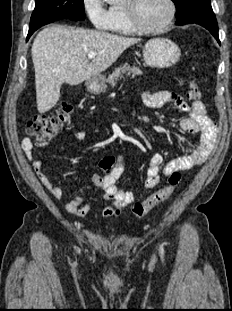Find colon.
Masks as SVG:
<instances>
[{
  "instance_id": "1",
  "label": "colon",
  "mask_w": 232,
  "mask_h": 311,
  "mask_svg": "<svg viewBox=\"0 0 232 311\" xmlns=\"http://www.w3.org/2000/svg\"><path fill=\"white\" fill-rule=\"evenodd\" d=\"M200 95L198 86L191 83L186 93L187 100L190 102L198 101ZM72 109L73 107L70 104H63L62 107L51 116H35L27 126L28 134L39 139L52 138L69 121ZM180 180V172H173L169 178L168 184L165 187L159 189L146 199L134 203L132 206V213L137 217H142L150 213L172 196Z\"/></svg>"
}]
</instances>
